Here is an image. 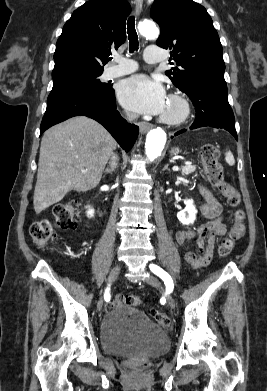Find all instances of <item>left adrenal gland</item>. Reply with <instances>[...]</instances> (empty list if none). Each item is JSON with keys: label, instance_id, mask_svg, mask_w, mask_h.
<instances>
[{"label": "left adrenal gland", "instance_id": "obj_1", "mask_svg": "<svg viewBox=\"0 0 267 391\" xmlns=\"http://www.w3.org/2000/svg\"><path fill=\"white\" fill-rule=\"evenodd\" d=\"M165 170H169V169H168V164L165 165V167L163 168V171H165Z\"/></svg>", "mask_w": 267, "mask_h": 391}]
</instances>
